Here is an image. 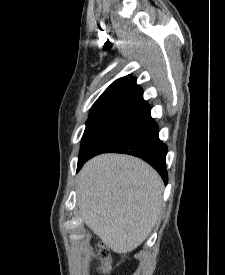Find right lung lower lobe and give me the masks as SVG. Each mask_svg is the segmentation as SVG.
Listing matches in <instances>:
<instances>
[{"label":"right lung lower lobe","mask_w":225,"mask_h":275,"mask_svg":"<svg viewBox=\"0 0 225 275\" xmlns=\"http://www.w3.org/2000/svg\"><path fill=\"white\" fill-rule=\"evenodd\" d=\"M158 133V126L150 116V107L132 114L115 126L97 144L80 168L95 155L105 152L125 153L148 162L167 183L165 163L167 146L160 141Z\"/></svg>","instance_id":"right-lung-lower-lobe-1"}]
</instances>
